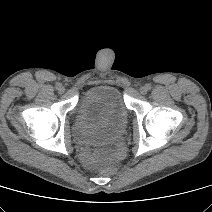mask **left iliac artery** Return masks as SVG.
<instances>
[{
  "instance_id": "44dca946",
  "label": "left iliac artery",
  "mask_w": 212,
  "mask_h": 212,
  "mask_svg": "<svg viewBox=\"0 0 212 212\" xmlns=\"http://www.w3.org/2000/svg\"><path fill=\"white\" fill-rule=\"evenodd\" d=\"M146 88H147V90H150L151 89V85L150 84H147L146 85Z\"/></svg>"
}]
</instances>
